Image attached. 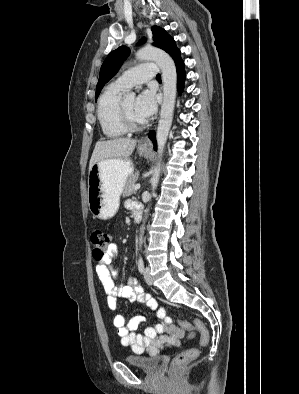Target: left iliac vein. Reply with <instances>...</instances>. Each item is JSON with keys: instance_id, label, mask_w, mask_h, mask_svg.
<instances>
[{"instance_id": "4c4485c4", "label": "left iliac vein", "mask_w": 299, "mask_h": 394, "mask_svg": "<svg viewBox=\"0 0 299 394\" xmlns=\"http://www.w3.org/2000/svg\"><path fill=\"white\" fill-rule=\"evenodd\" d=\"M144 279H145V281H146V283L148 285H152L153 280H152V277H151V274H150V268L149 267H146L145 270H144Z\"/></svg>"}]
</instances>
